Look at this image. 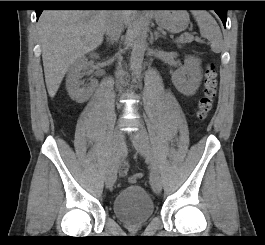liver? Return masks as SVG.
Segmentation results:
<instances>
[{"instance_id": "liver-1", "label": "liver", "mask_w": 265, "mask_h": 245, "mask_svg": "<svg viewBox=\"0 0 265 245\" xmlns=\"http://www.w3.org/2000/svg\"><path fill=\"white\" fill-rule=\"evenodd\" d=\"M116 12L107 10H45L38 22L45 82L53 98L69 69L79 58L103 41ZM128 24L131 12H117Z\"/></svg>"}]
</instances>
